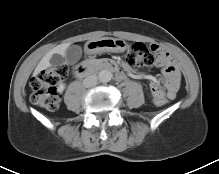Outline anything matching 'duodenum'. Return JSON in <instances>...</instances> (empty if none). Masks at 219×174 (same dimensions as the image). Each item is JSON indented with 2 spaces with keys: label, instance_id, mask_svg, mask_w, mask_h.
<instances>
[{
  "label": "duodenum",
  "instance_id": "410a0bca",
  "mask_svg": "<svg viewBox=\"0 0 219 174\" xmlns=\"http://www.w3.org/2000/svg\"><path fill=\"white\" fill-rule=\"evenodd\" d=\"M100 70H109L113 71L116 73H119L120 70L117 66V64L112 61V60H103L99 62H91L85 65H81L77 67L74 71V75L76 77H86L95 71H100Z\"/></svg>",
  "mask_w": 219,
  "mask_h": 174
}]
</instances>
